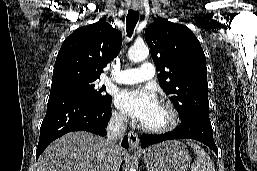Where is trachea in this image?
<instances>
[{"instance_id":"obj_1","label":"trachea","mask_w":257,"mask_h":171,"mask_svg":"<svg viewBox=\"0 0 257 171\" xmlns=\"http://www.w3.org/2000/svg\"><path fill=\"white\" fill-rule=\"evenodd\" d=\"M138 20H139V11L130 9L126 17V31H127L128 37L132 36Z\"/></svg>"}]
</instances>
